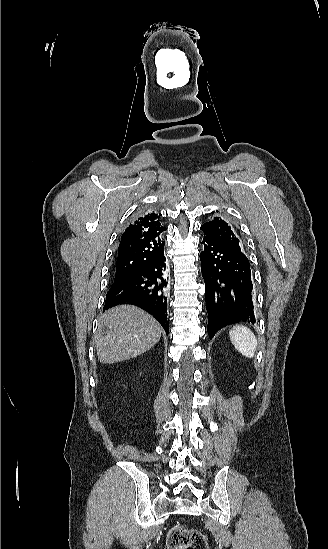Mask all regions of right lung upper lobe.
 Returning a JSON list of instances; mask_svg holds the SVG:
<instances>
[{
	"instance_id": "obj_1",
	"label": "right lung upper lobe",
	"mask_w": 328,
	"mask_h": 549,
	"mask_svg": "<svg viewBox=\"0 0 328 549\" xmlns=\"http://www.w3.org/2000/svg\"><path fill=\"white\" fill-rule=\"evenodd\" d=\"M161 214H140L121 236L116 257L115 278H128L141 271L164 251Z\"/></svg>"
}]
</instances>
